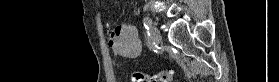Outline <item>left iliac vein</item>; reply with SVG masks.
Listing matches in <instances>:
<instances>
[{
	"label": "left iliac vein",
	"mask_w": 279,
	"mask_h": 82,
	"mask_svg": "<svg viewBox=\"0 0 279 82\" xmlns=\"http://www.w3.org/2000/svg\"><path fill=\"white\" fill-rule=\"evenodd\" d=\"M150 33H151L152 41L156 44H159L162 40V36L159 30L155 26H151Z\"/></svg>",
	"instance_id": "4c4485c4"
}]
</instances>
